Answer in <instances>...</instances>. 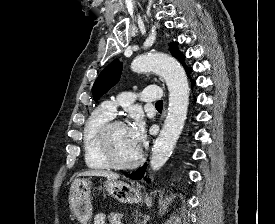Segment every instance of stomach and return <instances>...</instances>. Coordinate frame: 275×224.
Returning <instances> with one entry per match:
<instances>
[{
    "label": "stomach",
    "instance_id": "obj_1",
    "mask_svg": "<svg viewBox=\"0 0 275 224\" xmlns=\"http://www.w3.org/2000/svg\"><path fill=\"white\" fill-rule=\"evenodd\" d=\"M103 189L122 203H138L143 197L138 186L123 181L107 180L103 183ZM90 193L89 179H74L70 187L69 205L74 216L82 224H87L93 215Z\"/></svg>",
    "mask_w": 275,
    "mask_h": 224
}]
</instances>
